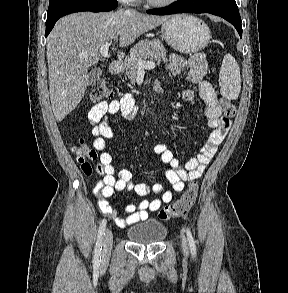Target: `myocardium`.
Here are the masks:
<instances>
[{
  "label": "myocardium",
  "mask_w": 288,
  "mask_h": 293,
  "mask_svg": "<svg viewBox=\"0 0 288 293\" xmlns=\"http://www.w3.org/2000/svg\"><path fill=\"white\" fill-rule=\"evenodd\" d=\"M177 0H146V2L154 7H167L174 4Z\"/></svg>",
  "instance_id": "1"
}]
</instances>
